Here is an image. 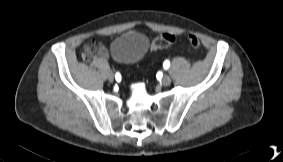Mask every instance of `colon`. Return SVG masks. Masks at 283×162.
<instances>
[{"mask_svg":"<svg viewBox=\"0 0 283 162\" xmlns=\"http://www.w3.org/2000/svg\"><path fill=\"white\" fill-rule=\"evenodd\" d=\"M175 42V36L170 33H163L157 36L152 41V49L154 50H160L167 48L171 46ZM188 43L191 48L198 49L200 47V41L195 35H189L188 36ZM83 58L85 60H89L91 58V55L88 53H85Z\"/></svg>","mask_w":283,"mask_h":162,"instance_id":"obj_1","label":"colon"}]
</instances>
